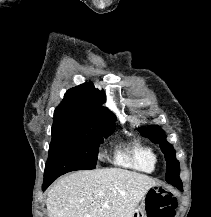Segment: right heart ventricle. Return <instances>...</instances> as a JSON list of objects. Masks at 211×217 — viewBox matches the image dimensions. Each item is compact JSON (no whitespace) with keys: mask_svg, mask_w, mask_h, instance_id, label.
Listing matches in <instances>:
<instances>
[{"mask_svg":"<svg viewBox=\"0 0 211 217\" xmlns=\"http://www.w3.org/2000/svg\"><path fill=\"white\" fill-rule=\"evenodd\" d=\"M115 161L121 166L152 173L156 168L157 157L152 147L140 141H134L116 152Z\"/></svg>","mask_w":211,"mask_h":217,"instance_id":"obj_1","label":"right heart ventricle"}]
</instances>
